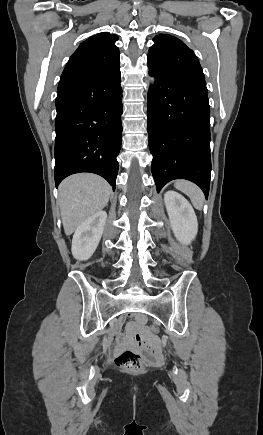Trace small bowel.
<instances>
[{"instance_id": "small-bowel-1", "label": "small bowel", "mask_w": 263, "mask_h": 435, "mask_svg": "<svg viewBox=\"0 0 263 435\" xmlns=\"http://www.w3.org/2000/svg\"><path fill=\"white\" fill-rule=\"evenodd\" d=\"M136 320L140 325L147 323L145 315H139ZM144 339L145 341H142L141 336H132L131 341H129L123 334H118L116 337V347L123 348L128 345H136L137 350H142L145 356L150 354L151 361H161L162 354L159 349L161 344L158 341H154L156 334L154 332H145Z\"/></svg>"}]
</instances>
